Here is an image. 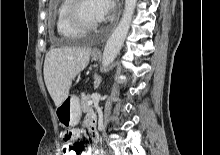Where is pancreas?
<instances>
[{
    "mask_svg": "<svg viewBox=\"0 0 220 155\" xmlns=\"http://www.w3.org/2000/svg\"><path fill=\"white\" fill-rule=\"evenodd\" d=\"M90 100L89 96H86L85 94H81V109L84 113L89 112L92 110V106L88 105V101Z\"/></svg>",
    "mask_w": 220,
    "mask_h": 155,
    "instance_id": "pancreas-1",
    "label": "pancreas"
}]
</instances>
